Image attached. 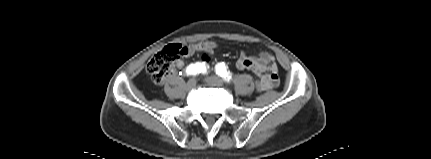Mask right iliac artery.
<instances>
[{"mask_svg": "<svg viewBox=\"0 0 431 159\" xmlns=\"http://www.w3.org/2000/svg\"><path fill=\"white\" fill-rule=\"evenodd\" d=\"M199 73H206V66L204 65V63H194V64H190L187 68H186V74L187 75H197Z\"/></svg>", "mask_w": 431, "mask_h": 159, "instance_id": "right-iliac-artery-1", "label": "right iliac artery"}]
</instances>
